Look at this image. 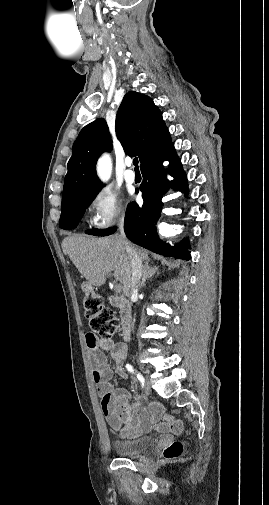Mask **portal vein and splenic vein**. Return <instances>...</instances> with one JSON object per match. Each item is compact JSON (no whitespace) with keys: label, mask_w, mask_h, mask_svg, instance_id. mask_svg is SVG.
Returning <instances> with one entry per match:
<instances>
[{"label":"portal vein and splenic vein","mask_w":269,"mask_h":505,"mask_svg":"<svg viewBox=\"0 0 269 505\" xmlns=\"http://www.w3.org/2000/svg\"><path fill=\"white\" fill-rule=\"evenodd\" d=\"M114 289H115V291H116L117 293H120V292H121V290H122V287H121V285H120V284H116V285L114 286Z\"/></svg>","instance_id":"1"}]
</instances>
